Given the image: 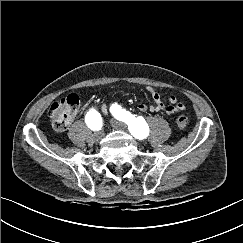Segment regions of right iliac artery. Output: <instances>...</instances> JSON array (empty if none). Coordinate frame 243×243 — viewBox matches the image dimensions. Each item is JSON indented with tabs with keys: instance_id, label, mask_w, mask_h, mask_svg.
<instances>
[{
	"instance_id": "obj_1",
	"label": "right iliac artery",
	"mask_w": 243,
	"mask_h": 243,
	"mask_svg": "<svg viewBox=\"0 0 243 243\" xmlns=\"http://www.w3.org/2000/svg\"><path fill=\"white\" fill-rule=\"evenodd\" d=\"M85 122L90 129L99 130L102 126L100 113H98L95 109H90L85 116Z\"/></svg>"
}]
</instances>
